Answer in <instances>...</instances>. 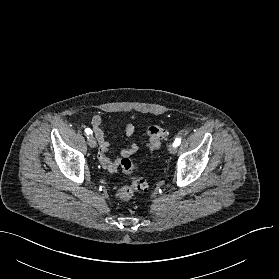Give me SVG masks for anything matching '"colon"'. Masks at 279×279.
<instances>
[{"label": "colon", "mask_w": 279, "mask_h": 279, "mask_svg": "<svg viewBox=\"0 0 279 279\" xmlns=\"http://www.w3.org/2000/svg\"><path fill=\"white\" fill-rule=\"evenodd\" d=\"M148 148L151 153L160 149L162 143L167 139L168 131L159 125H152L148 128ZM123 173L127 176L138 172V168L129 158H123L120 162ZM148 189V183L144 178L132 177L130 185L121 186L116 190V197L121 201L129 200L136 192H144Z\"/></svg>", "instance_id": "5ec220e1"}]
</instances>
